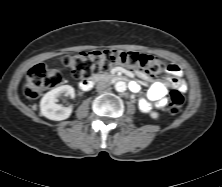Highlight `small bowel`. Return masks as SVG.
<instances>
[{
    "label": "small bowel",
    "mask_w": 222,
    "mask_h": 187,
    "mask_svg": "<svg viewBox=\"0 0 222 187\" xmlns=\"http://www.w3.org/2000/svg\"><path fill=\"white\" fill-rule=\"evenodd\" d=\"M167 72L171 75V78H169L167 83L157 81L153 77L147 76L144 73H139V76L142 79L151 83L147 91L146 98H142L139 102V106L144 112L151 111L153 107L162 109L166 106L168 84L176 86L181 90H185L187 88L186 83L183 80L178 79V77L182 74V70L178 65L168 64ZM135 89L138 90V87L136 86Z\"/></svg>",
    "instance_id": "1"
}]
</instances>
